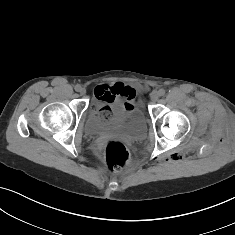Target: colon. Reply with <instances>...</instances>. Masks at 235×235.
<instances>
[{"instance_id":"5ec220e1","label":"colon","mask_w":235,"mask_h":235,"mask_svg":"<svg viewBox=\"0 0 235 235\" xmlns=\"http://www.w3.org/2000/svg\"><path fill=\"white\" fill-rule=\"evenodd\" d=\"M139 94L135 93L132 97L133 100L138 98ZM132 105V104H131ZM131 105H125L130 107ZM100 114L104 118H108L111 115V109L103 107L100 110ZM105 161L109 170L113 173H118L123 170L129 163V152L123 142L116 139H110L106 142L105 148Z\"/></svg>"}]
</instances>
